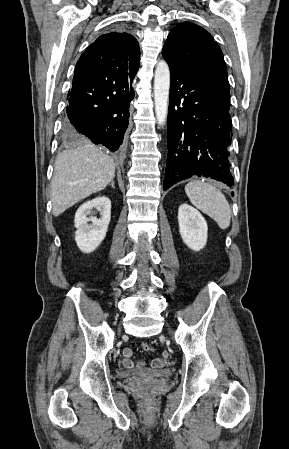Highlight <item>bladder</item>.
I'll return each instance as SVG.
<instances>
[{"mask_svg": "<svg viewBox=\"0 0 289 449\" xmlns=\"http://www.w3.org/2000/svg\"><path fill=\"white\" fill-rule=\"evenodd\" d=\"M173 374L171 369H157V370H123L118 373V377L122 380H132L139 378H169Z\"/></svg>", "mask_w": 289, "mask_h": 449, "instance_id": "bladder-1", "label": "bladder"}]
</instances>
